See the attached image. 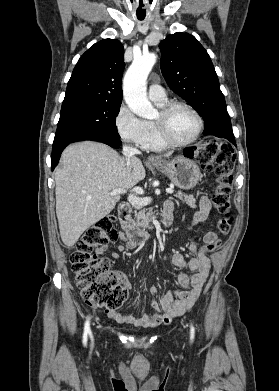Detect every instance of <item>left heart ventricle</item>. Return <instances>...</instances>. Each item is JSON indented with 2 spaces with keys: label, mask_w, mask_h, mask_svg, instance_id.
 Here are the masks:
<instances>
[{
  "label": "left heart ventricle",
  "mask_w": 279,
  "mask_h": 391,
  "mask_svg": "<svg viewBox=\"0 0 279 391\" xmlns=\"http://www.w3.org/2000/svg\"><path fill=\"white\" fill-rule=\"evenodd\" d=\"M198 127L196 117L186 108L177 107L169 118L170 135L176 141H186L196 132Z\"/></svg>",
  "instance_id": "b2bd125f"
}]
</instances>
